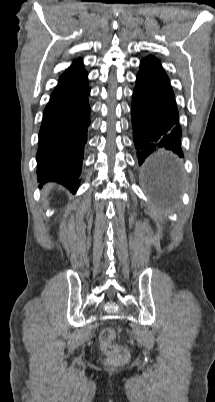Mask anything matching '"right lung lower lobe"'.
Instances as JSON below:
<instances>
[{
  "mask_svg": "<svg viewBox=\"0 0 215 402\" xmlns=\"http://www.w3.org/2000/svg\"><path fill=\"white\" fill-rule=\"evenodd\" d=\"M89 96L88 75L75 86L51 94L39 131L38 181L61 183L73 193L78 189L90 125Z\"/></svg>",
  "mask_w": 215,
  "mask_h": 402,
  "instance_id": "1",
  "label": "right lung lower lobe"
}]
</instances>
